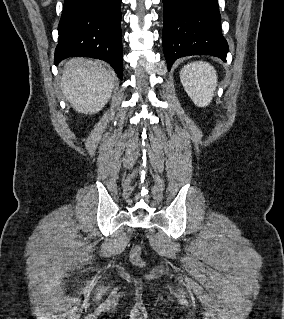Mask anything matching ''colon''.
<instances>
[{
    "instance_id": "1",
    "label": "colon",
    "mask_w": 284,
    "mask_h": 319,
    "mask_svg": "<svg viewBox=\"0 0 284 319\" xmlns=\"http://www.w3.org/2000/svg\"><path fill=\"white\" fill-rule=\"evenodd\" d=\"M131 261L136 265H142L143 261L141 259V249L136 247L131 252Z\"/></svg>"
}]
</instances>
